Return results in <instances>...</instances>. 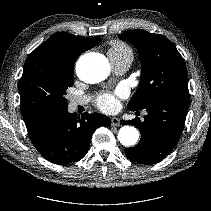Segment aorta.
Segmentation results:
<instances>
[{"label": "aorta", "mask_w": 211, "mask_h": 211, "mask_svg": "<svg viewBox=\"0 0 211 211\" xmlns=\"http://www.w3.org/2000/svg\"><path fill=\"white\" fill-rule=\"evenodd\" d=\"M110 71L108 60L101 54H86L80 57L76 64V72L80 79L87 83H97L104 80ZM139 138L138 130L133 126H123L118 133V139L124 146L136 144Z\"/></svg>", "instance_id": "obj_1"}]
</instances>
